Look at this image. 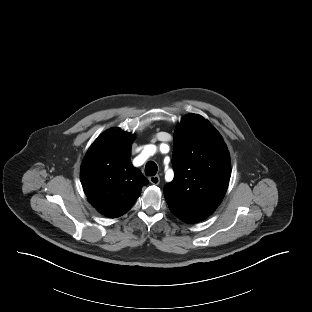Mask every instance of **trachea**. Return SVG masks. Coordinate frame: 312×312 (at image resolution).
I'll list each match as a JSON object with an SVG mask.
<instances>
[{
    "mask_svg": "<svg viewBox=\"0 0 312 312\" xmlns=\"http://www.w3.org/2000/svg\"><path fill=\"white\" fill-rule=\"evenodd\" d=\"M157 165L153 161L147 162L145 166V174L148 176H154L157 173Z\"/></svg>",
    "mask_w": 312,
    "mask_h": 312,
    "instance_id": "obj_1",
    "label": "trachea"
}]
</instances>
